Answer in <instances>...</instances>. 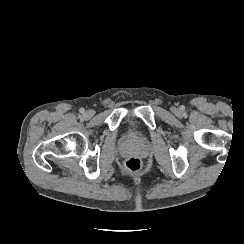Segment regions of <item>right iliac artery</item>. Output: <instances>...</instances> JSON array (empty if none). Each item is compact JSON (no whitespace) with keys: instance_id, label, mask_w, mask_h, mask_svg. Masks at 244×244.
Returning <instances> with one entry per match:
<instances>
[{"instance_id":"right-iliac-artery-1","label":"right iliac artery","mask_w":244,"mask_h":244,"mask_svg":"<svg viewBox=\"0 0 244 244\" xmlns=\"http://www.w3.org/2000/svg\"><path fill=\"white\" fill-rule=\"evenodd\" d=\"M80 113H84V109L83 108L80 109Z\"/></svg>"}]
</instances>
